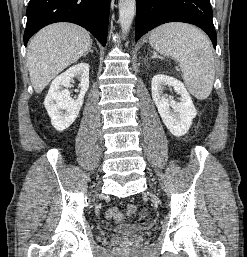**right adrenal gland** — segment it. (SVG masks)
Instances as JSON below:
<instances>
[{
  "instance_id": "right-adrenal-gland-1",
  "label": "right adrenal gland",
  "mask_w": 247,
  "mask_h": 257,
  "mask_svg": "<svg viewBox=\"0 0 247 257\" xmlns=\"http://www.w3.org/2000/svg\"><path fill=\"white\" fill-rule=\"evenodd\" d=\"M89 52H90V53H93L92 47L89 48V50L85 53L84 57H86V55H87Z\"/></svg>"
}]
</instances>
